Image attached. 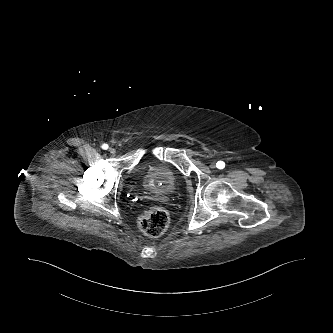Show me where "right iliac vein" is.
<instances>
[{
	"label": "right iliac vein",
	"mask_w": 333,
	"mask_h": 333,
	"mask_svg": "<svg viewBox=\"0 0 333 333\" xmlns=\"http://www.w3.org/2000/svg\"><path fill=\"white\" fill-rule=\"evenodd\" d=\"M109 152H110L111 154H114V153L116 152V150H115V148L110 147V148H109Z\"/></svg>",
	"instance_id": "right-iliac-vein-1"
}]
</instances>
